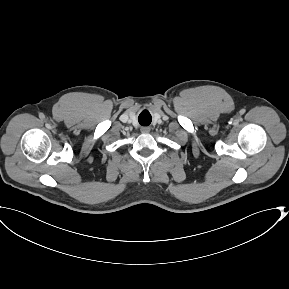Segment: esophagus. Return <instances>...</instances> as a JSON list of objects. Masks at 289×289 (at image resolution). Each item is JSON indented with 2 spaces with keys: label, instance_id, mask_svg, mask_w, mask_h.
<instances>
[{
  "label": "esophagus",
  "instance_id": "1",
  "mask_svg": "<svg viewBox=\"0 0 289 289\" xmlns=\"http://www.w3.org/2000/svg\"><path fill=\"white\" fill-rule=\"evenodd\" d=\"M141 132L146 134L150 132V128L149 127H141Z\"/></svg>",
  "mask_w": 289,
  "mask_h": 289
}]
</instances>
